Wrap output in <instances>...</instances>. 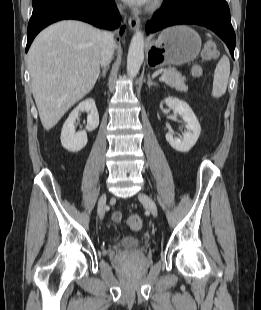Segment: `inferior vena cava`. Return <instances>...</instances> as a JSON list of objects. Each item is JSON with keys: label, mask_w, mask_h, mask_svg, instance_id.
Listing matches in <instances>:
<instances>
[{"label": "inferior vena cava", "mask_w": 261, "mask_h": 310, "mask_svg": "<svg viewBox=\"0 0 261 310\" xmlns=\"http://www.w3.org/2000/svg\"><path fill=\"white\" fill-rule=\"evenodd\" d=\"M114 48H115L114 33L110 31H105L100 58V64L102 67H107L111 63L114 54Z\"/></svg>", "instance_id": "inferior-vena-cava-1"}]
</instances>
